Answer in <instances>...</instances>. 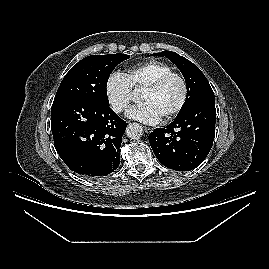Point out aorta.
Masks as SVG:
<instances>
[{
  "label": "aorta",
  "mask_w": 269,
  "mask_h": 269,
  "mask_svg": "<svg viewBox=\"0 0 269 269\" xmlns=\"http://www.w3.org/2000/svg\"><path fill=\"white\" fill-rule=\"evenodd\" d=\"M127 136L132 139H139L143 135V128L137 123L130 124L126 129Z\"/></svg>",
  "instance_id": "obj_1"
}]
</instances>
